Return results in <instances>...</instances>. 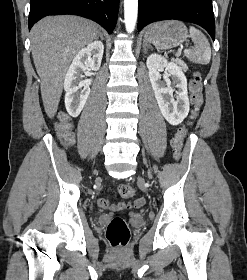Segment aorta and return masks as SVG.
<instances>
[{
	"mask_svg": "<svg viewBox=\"0 0 247 280\" xmlns=\"http://www.w3.org/2000/svg\"><path fill=\"white\" fill-rule=\"evenodd\" d=\"M138 0H124V22L126 31L132 33L136 26Z\"/></svg>",
	"mask_w": 247,
	"mask_h": 280,
	"instance_id": "762f6f07",
	"label": "aorta"
}]
</instances>
